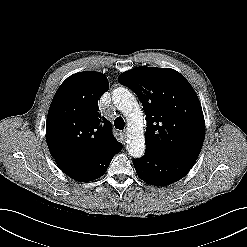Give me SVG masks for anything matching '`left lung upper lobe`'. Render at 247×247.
Here are the masks:
<instances>
[{
    "label": "left lung upper lobe",
    "mask_w": 247,
    "mask_h": 247,
    "mask_svg": "<svg viewBox=\"0 0 247 247\" xmlns=\"http://www.w3.org/2000/svg\"><path fill=\"white\" fill-rule=\"evenodd\" d=\"M143 105L146 150L196 161L205 137L199 99L190 83L170 68L140 66L121 74Z\"/></svg>",
    "instance_id": "obj_1"
}]
</instances>
